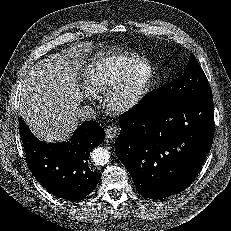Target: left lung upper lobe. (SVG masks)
<instances>
[{
	"instance_id": "obj_1",
	"label": "left lung upper lobe",
	"mask_w": 231,
	"mask_h": 231,
	"mask_svg": "<svg viewBox=\"0 0 231 231\" xmlns=\"http://www.w3.org/2000/svg\"><path fill=\"white\" fill-rule=\"evenodd\" d=\"M201 96H212V91L205 73L195 56L191 54L182 76L172 83L149 92L141 102L148 108L160 109L182 100Z\"/></svg>"
}]
</instances>
